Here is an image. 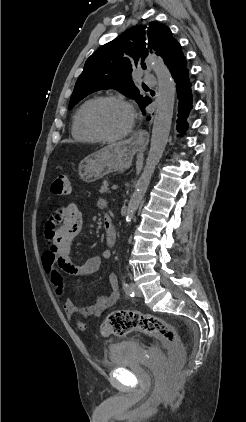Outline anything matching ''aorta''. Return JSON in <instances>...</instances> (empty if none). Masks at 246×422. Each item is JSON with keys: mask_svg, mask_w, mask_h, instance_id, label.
I'll return each mask as SVG.
<instances>
[{"mask_svg": "<svg viewBox=\"0 0 246 422\" xmlns=\"http://www.w3.org/2000/svg\"><path fill=\"white\" fill-rule=\"evenodd\" d=\"M148 65L158 79L157 109L154 116L150 150L143 172L135 185L126 211V221H130L150 184L154 170L165 150L173 116L175 83L163 60L151 56Z\"/></svg>", "mask_w": 246, "mask_h": 422, "instance_id": "aorta-1", "label": "aorta"}]
</instances>
